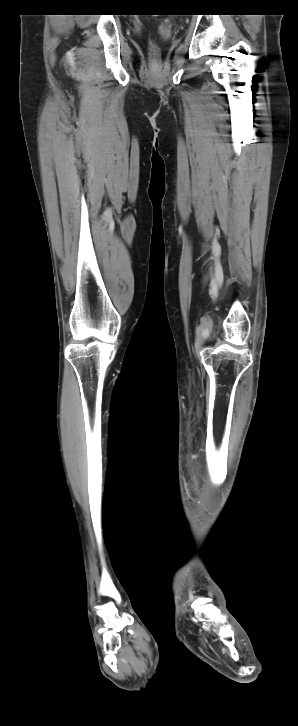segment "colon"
<instances>
[{
  "label": "colon",
  "mask_w": 298,
  "mask_h": 726,
  "mask_svg": "<svg viewBox=\"0 0 298 726\" xmlns=\"http://www.w3.org/2000/svg\"><path fill=\"white\" fill-rule=\"evenodd\" d=\"M151 48H152V50H153L154 52L156 51V45H155V44H152V45H151Z\"/></svg>",
  "instance_id": "5ec220e1"
}]
</instances>
